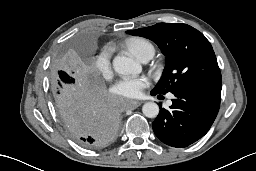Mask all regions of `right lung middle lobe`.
<instances>
[{"instance_id":"right-lung-middle-lobe-1","label":"right lung middle lobe","mask_w":256,"mask_h":171,"mask_svg":"<svg viewBox=\"0 0 256 171\" xmlns=\"http://www.w3.org/2000/svg\"><path fill=\"white\" fill-rule=\"evenodd\" d=\"M51 87L56 107L72 98L83 88L75 81L70 70L69 60L66 57L57 59L51 70Z\"/></svg>"}]
</instances>
